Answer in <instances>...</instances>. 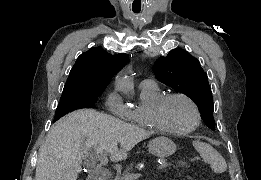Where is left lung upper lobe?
<instances>
[{
    "label": "left lung upper lobe",
    "instance_id": "obj_1",
    "mask_svg": "<svg viewBox=\"0 0 261 180\" xmlns=\"http://www.w3.org/2000/svg\"><path fill=\"white\" fill-rule=\"evenodd\" d=\"M154 72L160 82L191 98L206 126L215 130L211 88L207 74L195 57L185 50L174 49L155 62Z\"/></svg>",
    "mask_w": 261,
    "mask_h": 180
}]
</instances>
